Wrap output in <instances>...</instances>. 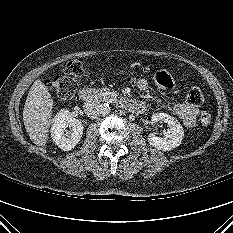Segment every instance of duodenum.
Segmentation results:
<instances>
[{"instance_id": "obj_1", "label": "duodenum", "mask_w": 233, "mask_h": 233, "mask_svg": "<svg viewBox=\"0 0 233 233\" xmlns=\"http://www.w3.org/2000/svg\"><path fill=\"white\" fill-rule=\"evenodd\" d=\"M98 96H99L98 91L92 88H83L79 92V97L84 102H92L95 99H97ZM119 103L124 109L130 112L137 113L142 110V105L132 99L121 98L119 100Z\"/></svg>"}]
</instances>
